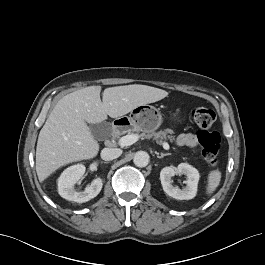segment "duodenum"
<instances>
[{"label":"duodenum","mask_w":265,"mask_h":265,"mask_svg":"<svg viewBox=\"0 0 265 265\" xmlns=\"http://www.w3.org/2000/svg\"><path fill=\"white\" fill-rule=\"evenodd\" d=\"M128 125V122L125 121H115L111 128L112 136H118L123 132L125 127Z\"/></svg>","instance_id":"410a0bca"}]
</instances>
